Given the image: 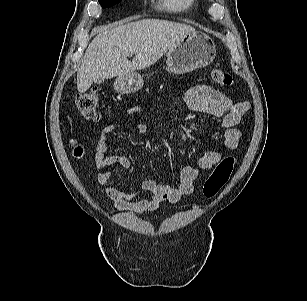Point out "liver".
I'll list each match as a JSON object with an SVG mask.
<instances>
[{
  "label": "liver",
  "mask_w": 307,
  "mask_h": 301,
  "mask_svg": "<svg viewBox=\"0 0 307 301\" xmlns=\"http://www.w3.org/2000/svg\"><path fill=\"white\" fill-rule=\"evenodd\" d=\"M184 23L142 19L106 29L89 44L77 73V89L86 92L95 80L110 79L156 63L186 34ZM134 54L131 61L128 56Z\"/></svg>",
  "instance_id": "6515ba94"
}]
</instances>
